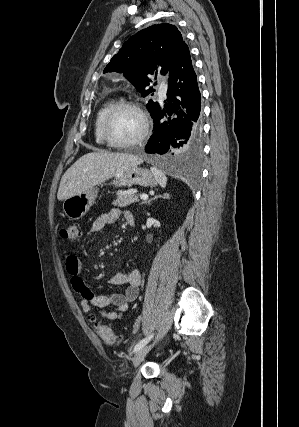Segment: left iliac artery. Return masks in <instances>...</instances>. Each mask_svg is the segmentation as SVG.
<instances>
[{
    "mask_svg": "<svg viewBox=\"0 0 299 427\" xmlns=\"http://www.w3.org/2000/svg\"><path fill=\"white\" fill-rule=\"evenodd\" d=\"M153 337V334L142 339L141 341H139L136 346L134 347V352H137L138 350H140L143 346H145Z\"/></svg>",
    "mask_w": 299,
    "mask_h": 427,
    "instance_id": "1",
    "label": "left iliac artery"
}]
</instances>
